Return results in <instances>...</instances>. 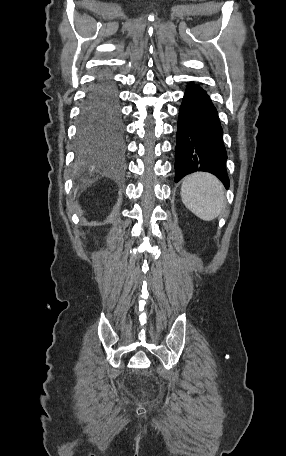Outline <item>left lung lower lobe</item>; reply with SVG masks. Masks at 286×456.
<instances>
[{
    "instance_id": "left-lung-lower-lobe-1",
    "label": "left lung lower lobe",
    "mask_w": 286,
    "mask_h": 456,
    "mask_svg": "<svg viewBox=\"0 0 286 456\" xmlns=\"http://www.w3.org/2000/svg\"><path fill=\"white\" fill-rule=\"evenodd\" d=\"M177 127L175 182L187 174L206 171L217 176L228 188L223 130L216 108L199 86L187 87Z\"/></svg>"
}]
</instances>
